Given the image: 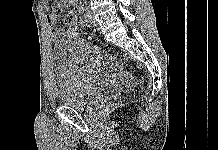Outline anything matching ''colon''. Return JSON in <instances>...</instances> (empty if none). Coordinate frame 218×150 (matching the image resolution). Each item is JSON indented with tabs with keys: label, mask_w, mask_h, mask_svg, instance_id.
Returning a JSON list of instances; mask_svg holds the SVG:
<instances>
[{
	"label": "colon",
	"mask_w": 218,
	"mask_h": 150,
	"mask_svg": "<svg viewBox=\"0 0 218 150\" xmlns=\"http://www.w3.org/2000/svg\"><path fill=\"white\" fill-rule=\"evenodd\" d=\"M65 26L67 27V35L71 40L78 38L77 19L76 15L72 12L66 14L64 19Z\"/></svg>",
	"instance_id": "obj_1"
}]
</instances>
